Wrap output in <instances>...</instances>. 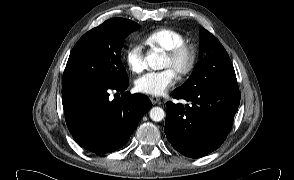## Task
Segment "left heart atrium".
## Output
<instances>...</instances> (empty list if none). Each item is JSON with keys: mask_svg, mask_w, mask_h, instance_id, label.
<instances>
[{"mask_svg": "<svg viewBox=\"0 0 294 180\" xmlns=\"http://www.w3.org/2000/svg\"><path fill=\"white\" fill-rule=\"evenodd\" d=\"M177 81L176 73L166 68L157 72H148L139 76L135 80V89L142 93L152 96L165 94Z\"/></svg>", "mask_w": 294, "mask_h": 180, "instance_id": "left-heart-atrium-1", "label": "left heart atrium"}]
</instances>
